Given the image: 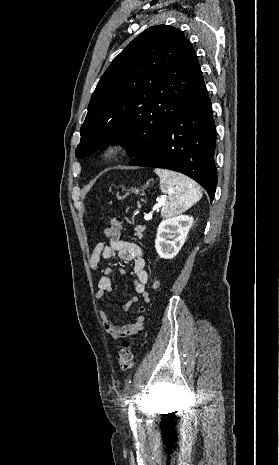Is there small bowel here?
<instances>
[{"mask_svg": "<svg viewBox=\"0 0 279 465\" xmlns=\"http://www.w3.org/2000/svg\"><path fill=\"white\" fill-rule=\"evenodd\" d=\"M115 257H118L122 261L133 263V273L135 275V280L133 281L134 290L137 294L141 295L143 301L150 302V296L146 291L149 276L145 269V260L141 248L135 243L120 239L110 240L106 243L105 239H102L94 247L89 259V265L91 269L96 270L101 259L108 260ZM120 272L123 273L124 271L121 269ZM111 273L112 269L109 267L103 270V275L98 281L95 295L98 300L103 299L107 293L112 291ZM137 302L138 297H131L123 306V310L127 311ZM137 312L140 314L139 317L134 322L123 326L115 324L108 314L101 312L100 317L106 334L116 341L125 340L129 336L138 334L144 327V313L146 309L145 307H139Z\"/></svg>", "mask_w": 279, "mask_h": 465, "instance_id": "small-bowel-1", "label": "small bowel"}]
</instances>
